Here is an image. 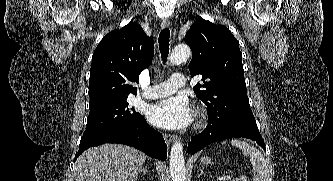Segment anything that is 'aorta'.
Wrapping results in <instances>:
<instances>
[{"instance_id":"1","label":"aorta","mask_w":333,"mask_h":181,"mask_svg":"<svg viewBox=\"0 0 333 181\" xmlns=\"http://www.w3.org/2000/svg\"><path fill=\"white\" fill-rule=\"evenodd\" d=\"M190 54L191 51L187 45H179L173 49L169 61L171 64H179L187 61ZM169 169L172 181H185L186 167L181 142H175L171 147Z\"/></svg>"}]
</instances>
